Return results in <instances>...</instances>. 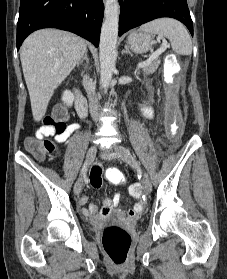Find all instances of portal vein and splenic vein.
Instances as JSON below:
<instances>
[{"mask_svg": "<svg viewBox=\"0 0 227 279\" xmlns=\"http://www.w3.org/2000/svg\"><path fill=\"white\" fill-rule=\"evenodd\" d=\"M167 47H168L167 42L165 40H163L161 47L158 50H156L155 52H153L147 60L139 63L138 67L141 68V67H144V66L150 64L153 60L157 59L159 57V55H161L167 49Z\"/></svg>", "mask_w": 227, "mask_h": 279, "instance_id": "obj_1", "label": "portal vein and splenic vein"}]
</instances>
